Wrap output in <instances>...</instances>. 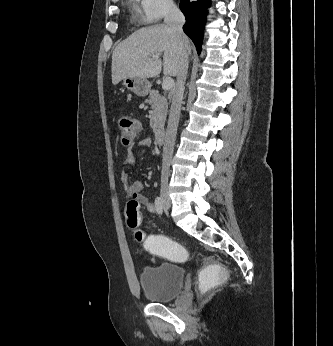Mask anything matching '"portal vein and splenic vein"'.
<instances>
[{
    "label": "portal vein and splenic vein",
    "mask_w": 333,
    "mask_h": 346,
    "mask_svg": "<svg viewBox=\"0 0 333 346\" xmlns=\"http://www.w3.org/2000/svg\"><path fill=\"white\" fill-rule=\"evenodd\" d=\"M158 55H154L153 58H157ZM174 86V80L171 78V77H166L164 80H163V83H162V88L163 90L165 91H168V90H171Z\"/></svg>",
    "instance_id": "portal-vein-and-splenic-vein-1"
}]
</instances>
